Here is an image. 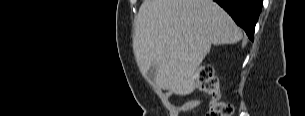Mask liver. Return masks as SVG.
Listing matches in <instances>:
<instances>
[{
	"label": "liver",
	"instance_id": "1",
	"mask_svg": "<svg viewBox=\"0 0 305 116\" xmlns=\"http://www.w3.org/2000/svg\"><path fill=\"white\" fill-rule=\"evenodd\" d=\"M133 51L146 75L157 65L155 83L177 95L196 88L198 67L211 45L234 44L243 35L212 0H145L135 22Z\"/></svg>",
	"mask_w": 305,
	"mask_h": 116
}]
</instances>
